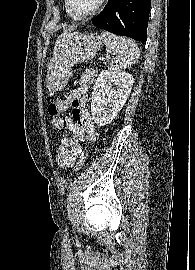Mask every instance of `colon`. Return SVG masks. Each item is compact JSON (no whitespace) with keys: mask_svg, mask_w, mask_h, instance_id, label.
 Segmentation results:
<instances>
[{"mask_svg":"<svg viewBox=\"0 0 195 270\" xmlns=\"http://www.w3.org/2000/svg\"><path fill=\"white\" fill-rule=\"evenodd\" d=\"M69 99H70V95L62 97V98H58L52 103H50L48 107L49 114L51 116H56L62 113L68 107ZM86 158H87V152L85 150H82L79 154L78 161L75 166L77 171H79L82 168V166L84 165L86 161Z\"/></svg>","mask_w":195,"mask_h":270,"instance_id":"5ec220e1","label":"colon"}]
</instances>
